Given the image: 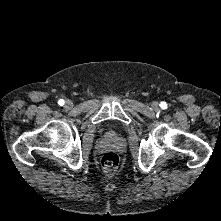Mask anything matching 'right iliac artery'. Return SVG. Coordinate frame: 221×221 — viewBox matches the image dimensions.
I'll return each mask as SVG.
<instances>
[{
    "instance_id": "1",
    "label": "right iliac artery",
    "mask_w": 221,
    "mask_h": 221,
    "mask_svg": "<svg viewBox=\"0 0 221 221\" xmlns=\"http://www.w3.org/2000/svg\"><path fill=\"white\" fill-rule=\"evenodd\" d=\"M64 103H65V101H64L63 99H60V100L58 101V104L61 105V106L64 105Z\"/></svg>"
}]
</instances>
